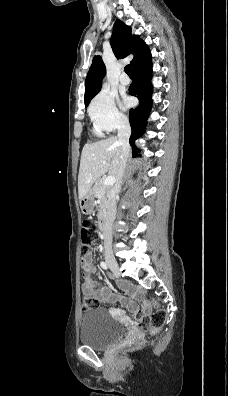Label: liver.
<instances>
[{
	"mask_svg": "<svg viewBox=\"0 0 228 396\" xmlns=\"http://www.w3.org/2000/svg\"><path fill=\"white\" fill-rule=\"evenodd\" d=\"M121 156L122 146L116 136L84 145L78 175L79 199L89 193L94 182L105 173L117 179Z\"/></svg>",
	"mask_w": 228,
	"mask_h": 396,
	"instance_id": "6515ba94",
	"label": "liver"
}]
</instances>
